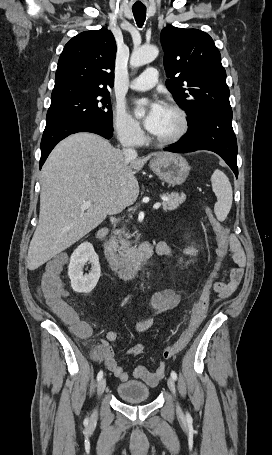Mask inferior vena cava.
<instances>
[{
	"label": "inferior vena cava",
	"instance_id": "inferior-vena-cava-1",
	"mask_svg": "<svg viewBox=\"0 0 272 455\" xmlns=\"http://www.w3.org/2000/svg\"><path fill=\"white\" fill-rule=\"evenodd\" d=\"M122 146H123L124 157L127 161L137 157L136 150L131 148L130 144L128 142L122 141Z\"/></svg>",
	"mask_w": 272,
	"mask_h": 455
}]
</instances>
